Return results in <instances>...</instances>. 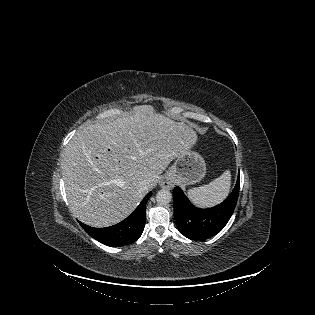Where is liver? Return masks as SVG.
I'll return each mask as SVG.
<instances>
[{
	"label": "liver",
	"mask_w": 315,
	"mask_h": 315,
	"mask_svg": "<svg viewBox=\"0 0 315 315\" xmlns=\"http://www.w3.org/2000/svg\"><path fill=\"white\" fill-rule=\"evenodd\" d=\"M140 106L130 116L79 129L66 147L62 178L74 217L93 227L126 218L173 159L197 142L187 124ZM148 114V115H147ZM148 190V191H149Z\"/></svg>",
	"instance_id": "obj_1"
}]
</instances>
